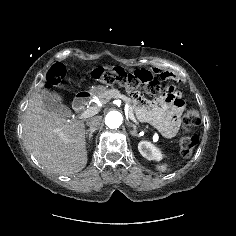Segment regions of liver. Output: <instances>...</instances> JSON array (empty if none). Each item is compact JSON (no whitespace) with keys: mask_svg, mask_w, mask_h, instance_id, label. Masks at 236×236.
Listing matches in <instances>:
<instances>
[{"mask_svg":"<svg viewBox=\"0 0 236 236\" xmlns=\"http://www.w3.org/2000/svg\"><path fill=\"white\" fill-rule=\"evenodd\" d=\"M52 96L57 102L62 101L60 95L54 93ZM23 132L26 148L51 172L69 175L86 166L84 121H70L47 110L36 92L23 116Z\"/></svg>","mask_w":236,"mask_h":236,"instance_id":"1","label":"liver"}]
</instances>
